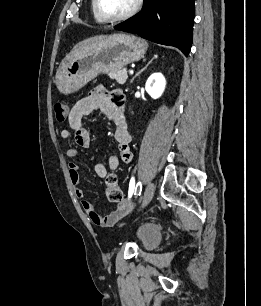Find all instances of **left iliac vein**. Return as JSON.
Returning a JSON list of instances; mask_svg holds the SVG:
<instances>
[{
    "mask_svg": "<svg viewBox=\"0 0 261 306\" xmlns=\"http://www.w3.org/2000/svg\"><path fill=\"white\" fill-rule=\"evenodd\" d=\"M155 193V185L152 182H149L144 191V195L142 198V208L145 207L153 198Z\"/></svg>",
    "mask_w": 261,
    "mask_h": 306,
    "instance_id": "4c4485c4",
    "label": "left iliac vein"
}]
</instances>
